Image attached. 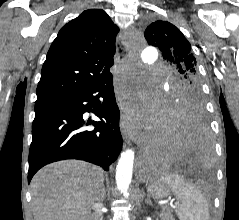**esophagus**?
Returning a JSON list of instances; mask_svg holds the SVG:
<instances>
[{
  "mask_svg": "<svg viewBox=\"0 0 239 220\" xmlns=\"http://www.w3.org/2000/svg\"><path fill=\"white\" fill-rule=\"evenodd\" d=\"M119 34L123 33L122 29L118 30ZM116 42H117V62L116 65L117 66H121L122 65V61L128 57L129 53L127 52V50H125L123 47L125 46L124 42H121V39L119 37L116 38ZM120 76H121V71H114L113 72V80H112V92H121V88H122V83L120 80ZM115 102H117V107L120 110L119 114H120V119L119 122L121 123V132L123 135V139L126 143L129 142V137L128 134L125 131V127H124V119L127 117L126 114V99H124V93H115Z\"/></svg>",
  "mask_w": 239,
  "mask_h": 220,
  "instance_id": "esophagus-1",
  "label": "esophagus"
}]
</instances>
